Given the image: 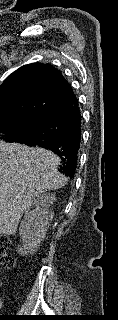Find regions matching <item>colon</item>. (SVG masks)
I'll list each match as a JSON object with an SVG mask.
<instances>
[{
  "label": "colon",
  "mask_w": 118,
  "mask_h": 320,
  "mask_svg": "<svg viewBox=\"0 0 118 320\" xmlns=\"http://www.w3.org/2000/svg\"><path fill=\"white\" fill-rule=\"evenodd\" d=\"M11 241L6 237H0V264L11 265L12 260L7 256V249L10 246Z\"/></svg>",
  "instance_id": "1"
}]
</instances>
